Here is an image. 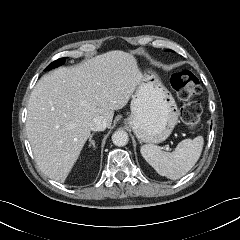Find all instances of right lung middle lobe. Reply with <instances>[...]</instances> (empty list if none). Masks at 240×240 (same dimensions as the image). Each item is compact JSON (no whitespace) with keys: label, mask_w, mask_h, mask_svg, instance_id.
Segmentation results:
<instances>
[{"label":"right lung middle lobe","mask_w":240,"mask_h":240,"mask_svg":"<svg viewBox=\"0 0 240 240\" xmlns=\"http://www.w3.org/2000/svg\"><path fill=\"white\" fill-rule=\"evenodd\" d=\"M64 62H65V58H60V59L52 62L49 66H47V68L45 70L49 71L53 68H56V67L62 65Z\"/></svg>","instance_id":"dd1d6c3e"}]
</instances>
